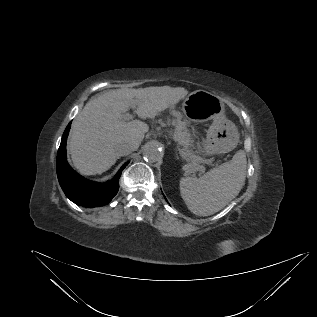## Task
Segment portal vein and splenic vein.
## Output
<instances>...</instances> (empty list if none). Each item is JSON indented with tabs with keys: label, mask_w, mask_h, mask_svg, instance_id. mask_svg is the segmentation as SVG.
<instances>
[{
	"label": "portal vein and splenic vein",
	"mask_w": 317,
	"mask_h": 317,
	"mask_svg": "<svg viewBox=\"0 0 317 317\" xmlns=\"http://www.w3.org/2000/svg\"><path fill=\"white\" fill-rule=\"evenodd\" d=\"M124 119H126V120H129V119H131L132 118V115H130V114H128V113H126V114H124ZM200 169H202V168H200Z\"/></svg>",
	"instance_id": "portal-vein-and-splenic-vein-1"
}]
</instances>
